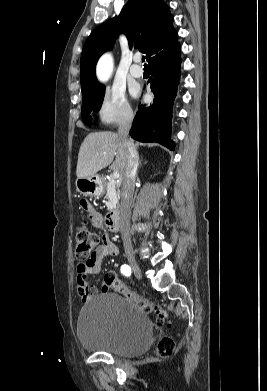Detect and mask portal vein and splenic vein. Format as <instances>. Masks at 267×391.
<instances>
[{
  "label": "portal vein and splenic vein",
  "instance_id": "obj_1",
  "mask_svg": "<svg viewBox=\"0 0 267 391\" xmlns=\"http://www.w3.org/2000/svg\"><path fill=\"white\" fill-rule=\"evenodd\" d=\"M111 177H112L113 179H118V178L120 177V174H119V172L114 171L113 174L111 175Z\"/></svg>",
  "mask_w": 267,
  "mask_h": 391
}]
</instances>
